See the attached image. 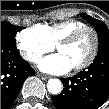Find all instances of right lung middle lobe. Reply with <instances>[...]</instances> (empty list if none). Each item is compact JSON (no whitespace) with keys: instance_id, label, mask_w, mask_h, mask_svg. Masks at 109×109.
I'll list each match as a JSON object with an SVG mask.
<instances>
[{"instance_id":"obj_1","label":"right lung middle lobe","mask_w":109,"mask_h":109,"mask_svg":"<svg viewBox=\"0 0 109 109\" xmlns=\"http://www.w3.org/2000/svg\"><path fill=\"white\" fill-rule=\"evenodd\" d=\"M22 28L8 22H1V45L16 49L15 33Z\"/></svg>"}]
</instances>
